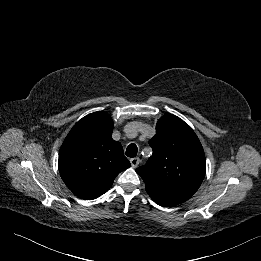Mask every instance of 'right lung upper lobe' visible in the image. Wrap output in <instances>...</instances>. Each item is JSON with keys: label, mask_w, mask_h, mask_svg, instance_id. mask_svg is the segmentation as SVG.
Listing matches in <instances>:
<instances>
[{"label": "right lung upper lobe", "mask_w": 261, "mask_h": 261, "mask_svg": "<svg viewBox=\"0 0 261 261\" xmlns=\"http://www.w3.org/2000/svg\"><path fill=\"white\" fill-rule=\"evenodd\" d=\"M113 121L99 111L78 121L65 138L58 168L66 186L85 200L98 198L131 166L122 145L112 139Z\"/></svg>", "instance_id": "cb5924a9"}]
</instances>
